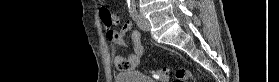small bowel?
Returning <instances> with one entry per match:
<instances>
[{"label":"small bowel","mask_w":279,"mask_h":82,"mask_svg":"<svg viewBox=\"0 0 279 82\" xmlns=\"http://www.w3.org/2000/svg\"><path fill=\"white\" fill-rule=\"evenodd\" d=\"M119 24H120L119 20L115 19L114 25H119ZM131 30H132V22L128 20L121 25L119 31H115L112 28L111 29L106 28V35L110 41L119 45H123L124 44L123 35L126 32H129ZM131 40L133 43V52L131 54H129L127 57L121 54H116L114 56V64L121 71L134 70L140 64L144 53V48L141 44L140 34L138 31L133 30L131 32Z\"/></svg>","instance_id":"small-bowel-1"}]
</instances>
